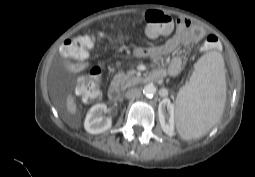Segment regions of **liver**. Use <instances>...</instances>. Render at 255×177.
I'll return each instance as SVG.
<instances>
[{"label": "liver", "mask_w": 255, "mask_h": 177, "mask_svg": "<svg viewBox=\"0 0 255 177\" xmlns=\"http://www.w3.org/2000/svg\"><path fill=\"white\" fill-rule=\"evenodd\" d=\"M66 106H67V110L71 113V114H75L76 113V105L74 103V100L71 96H68L66 99Z\"/></svg>", "instance_id": "obj_1"}]
</instances>
